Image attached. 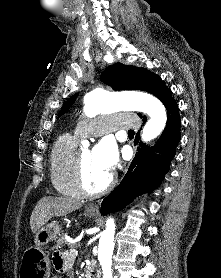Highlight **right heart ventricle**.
I'll list each match as a JSON object with an SVG mask.
<instances>
[{
	"mask_svg": "<svg viewBox=\"0 0 221 278\" xmlns=\"http://www.w3.org/2000/svg\"><path fill=\"white\" fill-rule=\"evenodd\" d=\"M76 153L77 149L73 137L66 134L57 139L49 158L50 180L53 188L59 194L73 199L81 198L72 180Z\"/></svg>",
	"mask_w": 221,
	"mask_h": 278,
	"instance_id": "right-heart-ventricle-1",
	"label": "right heart ventricle"
}]
</instances>
